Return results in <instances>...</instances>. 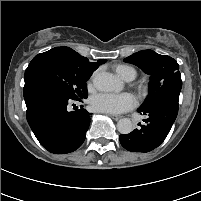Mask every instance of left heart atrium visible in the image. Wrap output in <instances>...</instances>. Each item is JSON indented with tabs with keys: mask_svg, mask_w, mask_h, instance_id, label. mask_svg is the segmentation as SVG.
<instances>
[{
	"mask_svg": "<svg viewBox=\"0 0 201 201\" xmlns=\"http://www.w3.org/2000/svg\"><path fill=\"white\" fill-rule=\"evenodd\" d=\"M135 103V98L129 93H99L91 99V106L95 111L108 114L123 113L133 108Z\"/></svg>",
	"mask_w": 201,
	"mask_h": 201,
	"instance_id": "1",
	"label": "left heart atrium"
}]
</instances>
